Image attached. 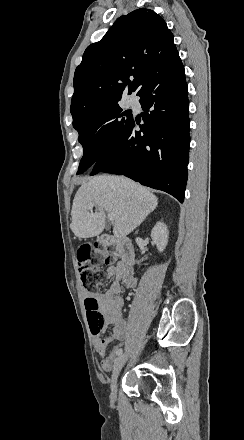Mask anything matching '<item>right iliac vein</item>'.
<instances>
[{
    "label": "right iliac vein",
    "instance_id": "63e3f726",
    "mask_svg": "<svg viewBox=\"0 0 244 440\" xmlns=\"http://www.w3.org/2000/svg\"><path fill=\"white\" fill-rule=\"evenodd\" d=\"M127 358H128V355L123 354V355H120L114 362V369H113V373L111 376V394L113 397L116 396L117 378L119 376V373H120L123 365L127 361Z\"/></svg>",
    "mask_w": 244,
    "mask_h": 440
}]
</instances>
